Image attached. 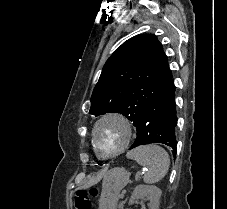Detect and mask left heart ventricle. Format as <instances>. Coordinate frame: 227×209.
Instances as JSON below:
<instances>
[{
	"instance_id": "obj_1",
	"label": "left heart ventricle",
	"mask_w": 227,
	"mask_h": 209,
	"mask_svg": "<svg viewBox=\"0 0 227 209\" xmlns=\"http://www.w3.org/2000/svg\"><path fill=\"white\" fill-rule=\"evenodd\" d=\"M126 137L125 126L112 118L102 121L95 132V141L101 153H110L119 149Z\"/></svg>"
}]
</instances>
